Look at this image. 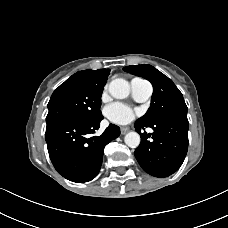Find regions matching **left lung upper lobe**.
Wrapping results in <instances>:
<instances>
[{
	"instance_id": "left-lung-upper-lobe-1",
	"label": "left lung upper lobe",
	"mask_w": 228,
	"mask_h": 228,
	"mask_svg": "<svg viewBox=\"0 0 228 228\" xmlns=\"http://www.w3.org/2000/svg\"><path fill=\"white\" fill-rule=\"evenodd\" d=\"M124 71L143 77L153 85L151 105L147 113L137 121L151 124L172 113L187 110L182 93L173 81L151 65H131Z\"/></svg>"
}]
</instances>
